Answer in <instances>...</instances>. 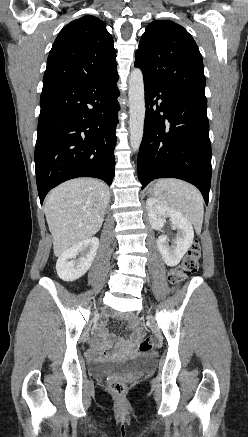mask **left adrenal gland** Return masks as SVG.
Returning a JSON list of instances; mask_svg holds the SVG:
<instances>
[{"label": "left adrenal gland", "mask_w": 248, "mask_h": 437, "mask_svg": "<svg viewBox=\"0 0 248 437\" xmlns=\"http://www.w3.org/2000/svg\"><path fill=\"white\" fill-rule=\"evenodd\" d=\"M151 191H152V190L150 189V190H148V192H147V193H151Z\"/></svg>", "instance_id": "obj_1"}]
</instances>
